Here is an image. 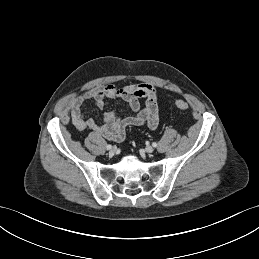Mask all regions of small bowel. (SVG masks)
<instances>
[{"mask_svg":"<svg viewBox=\"0 0 259 259\" xmlns=\"http://www.w3.org/2000/svg\"><path fill=\"white\" fill-rule=\"evenodd\" d=\"M114 98H121L127 102L133 114L121 115L116 109L107 110L102 125H97L93 119L84 116L83 106L86 102L93 101L98 108L104 109L105 100ZM142 99L145 101L144 106L141 105ZM69 105L71 121L79 131L91 130L117 143L124 141L126 130L131 126L146 125L149 129L155 130L159 123L156 92L149 84L121 87L110 84L72 97Z\"/></svg>","mask_w":259,"mask_h":259,"instance_id":"c3829d8e","label":"small bowel"}]
</instances>
